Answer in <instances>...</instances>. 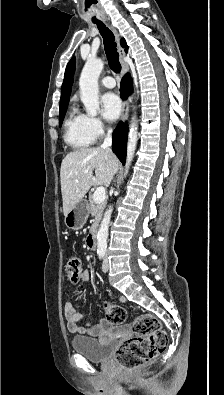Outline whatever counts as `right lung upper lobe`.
<instances>
[{
	"label": "right lung upper lobe",
	"mask_w": 224,
	"mask_h": 395,
	"mask_svg": "<svg viewBox=\"0 0 224 395\" xmlns=\"http://www.w3.org/2000/svg\"><path fill=\"white\" fill-rule=\"evenodd\" d=\"M121 46L126 48L125 51L127 52L128 47L124 39L121 40ZM74 70H75V58H72L67 64L65 70L64 81L62 84L61 98H60V110L67 108L68 106L69 96L71 93V87L73 83L72 77L74 74Z\"/></svg>",
	"instance_id": "obj_1"
}]
</instances>
